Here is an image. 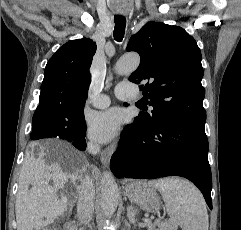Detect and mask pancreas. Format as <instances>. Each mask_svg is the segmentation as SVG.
Wrapping results in <instances>:
<instances>
[{"label": "pancreas", "instance_id": "pancreas-1", "mask_svg": "<svg viewBox=\"0 0 241 230\" xmlns=\"http://www.w3.org/2000/svg\"><path fill=\"white\" fill-rule=\"evenodd\" d=\"M154 225H148V230H154ZM159 230H174L176 223L173 220L164 221L158 224Z\"/></svg>", "mask_w": 241, "mask_h": 230}]
</instances>
